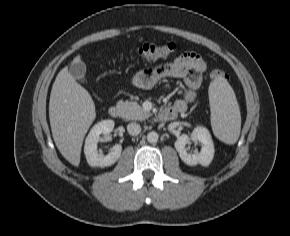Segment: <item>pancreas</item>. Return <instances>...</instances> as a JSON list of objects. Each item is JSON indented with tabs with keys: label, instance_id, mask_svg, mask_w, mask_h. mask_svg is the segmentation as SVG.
Returning a JSON list of instances; mask_svg holds the SVG:
<instances>
[{
	"label": "pancreas",
	"instance_id": "obj_1",
	"mask_svg": "<svg viewBox=\"0 0 290 236\" xmlns=\"http://www.w3.org/2000/svg\"><path fill=\"white\" fill-rule=\"evenodd\" d=\"M117 108L121 110V116L127 120H145L151 116L150 112L145 111L137 102L118 101Z\"/></svg>",
	"mask_w": 290,
	"mask_h": 236
}]
</instances>
